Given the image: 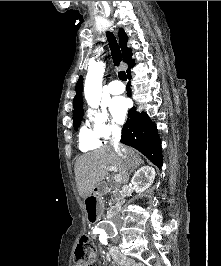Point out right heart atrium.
I'll return each instance as SVG.
<instances>
[{
  "mask_svg": "<svg viewBox=\"0 0 221 266\" xmlns=\"http://www.w3.org/2000/svg\"><path fill=\"white\" fill-rule=\"evenodd\" d=\"M93 132L100 140H109L121 133L118 124L110 118L105 109L90 110L87 114Z\"/></svg>",
  "mask_w": 221,
  "mask_h": 266,
  "instance_id": "right-heart-atrium-1",
  "label": "right heart atrium"
}]
</instances>
